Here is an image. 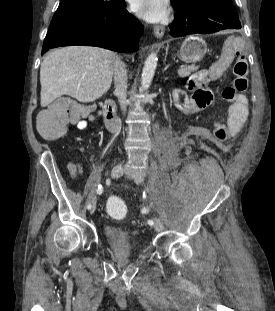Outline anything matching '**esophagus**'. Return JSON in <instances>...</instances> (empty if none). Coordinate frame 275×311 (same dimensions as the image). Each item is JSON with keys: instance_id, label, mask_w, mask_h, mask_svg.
<instances>
[{"instance_id": "esophagus-1", "label": "esophagus", "mask_w": 275, "mask_h": 311, "mask_svg": "<svg viewBox=\"0 0 275 311\" xmlns=\"http://www.w3.org/2000/svg\"><path fill=\"white\" fill-rule=\"evenodd\" d=\"M164 32H165V28L162 27V26H156L155 29H154V35H155L157 38L163 37Z\"/></svg>"}]
</instances>
